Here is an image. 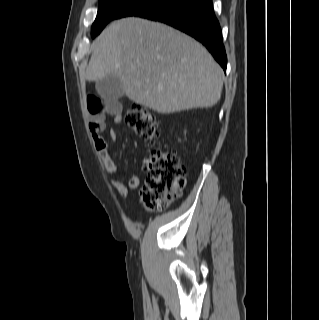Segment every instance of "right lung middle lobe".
<instances>
[{"instance_id": "1", "label": "right lung middle lobe", "mask_w": 319, "mask_h": 320, "mask_svg": "<svg viewBox=\"0 0 319 320\" xmlns=\"http://www.w3.org/2000/svg\"><path fill=\"white\" fill-rule=\"evenodd\" d=\"M170 0H99L97 17L92 26L91 35H98L105 25L113 19L125 16H137L153 7Z\"/></svg>"}]
</instances>
